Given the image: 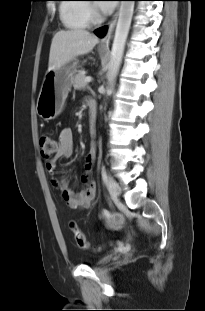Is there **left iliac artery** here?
Wrapping results in <instances>:
<instances>
[{"label": "left iliac artery", "instance_id": "44dca946", "mask_svg": "<svg viewBox=\"0 0 205 311\" xmlns=\"http://www.w3.org/2000/svg\"><path fill=\"white\" fill-rule=\"evenodd\" d=\"M101 174H102L103 181L106 182L107 181V172H106V169L104 166H102V168H101Z\"/></svg>", "mask_w": 205, "mask_h": 311}]
</instances>
